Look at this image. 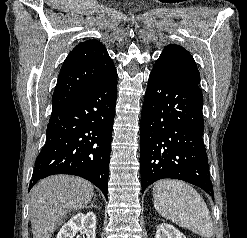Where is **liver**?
<instances>
[{
  "instance_id": "liver-1",
  "label": "liver",
  "mask_w": 247,
  "mask_h": 238,
  "mask_svg": "<svg viewBox=\"0 0 247 238\" xmlns=\"http://www.w3.org/2000/svg\"><path fill=\"white\" fill-rule=\"evenodd\" d=\"M91 183L75 176L53 175L31 190L30 221L33 238H51L64 216L92 200Z\"/></svg>"
}]
</instances>
